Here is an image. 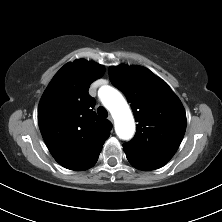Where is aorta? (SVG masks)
<instances>
[{
    "label": "aorta",
    "instance_id": "762f6f07",
    "mask_svg": "<svg viewBox=\"0 0 222 222\" xmlns=\"http://www.w3.org/2000/svg\"><path fill=\"white\" fill-rule=\"evenodd\" d=\"M100 98L103 105L112 114L115 122V131L119 138L124 140L131 138L135 131L134 118L120 92L107 86L103 88Z\"/></svg>",
    "mask_w": 222,
    "mask_h": 222
}]
</instances>
